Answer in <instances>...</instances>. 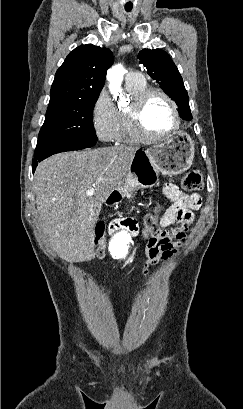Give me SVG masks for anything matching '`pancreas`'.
<instances>
[{"label": "pancreas", "mask_w": 243, "mask_h": 409, "mask_svg": "<svg viewBox=\"0 0 243 409\" xmlns=\"http://www.w3.org/2000/svg\"><path fill=\"white\" fill-rule=\"evenodd\" d=\"M127 198H131V194H129V195L127 196Z\"/></svg>", "instance_id": "obj_1"}]
</instances>
